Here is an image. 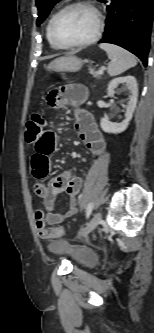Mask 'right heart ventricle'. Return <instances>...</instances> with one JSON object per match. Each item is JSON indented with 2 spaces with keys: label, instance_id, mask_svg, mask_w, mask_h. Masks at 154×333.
Masks as SVG:
<instances>
[{
  "label": "right heart ventricle",
  "instance_id": "obj_1",
  "mask_svg": "<svg viewBox=\"0 0 154 333\" xmlns=\"http://www.w3.org/2000/svg\"><path fill=\"white\" fill-rule=\"evenodd\" d=\"M52 16H53V15H52ZM52 16H51L50 19L48 20V23H47V26H46V37H47L48 42L50 43V45H51L53 48L58 49V47L54 44V42L52 41V39H51V37H50V34H49V23H50V20H51Z\"/></svg>",
  "mask_w": 154,
  "mask_h": 333
}]
</instances>
